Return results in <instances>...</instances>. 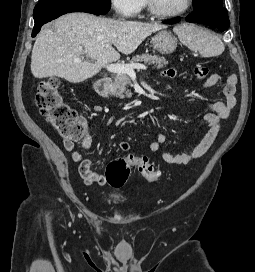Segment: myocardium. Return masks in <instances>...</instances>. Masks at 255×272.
Listing matches in <instances>:
<instances>
[{
  "label": "myocardium",
  "instance_id": "f54148a6",
  "mask_svg": "<svg viewBox=\"0 0 255 272\" xmlns=\"http://www.w3.org/2000/svg\"><path fill=\"white\" fill-rule=\"evenodd\" d=\"M144 1H145V5L149 14L154 17L162 18V19H171V18L180 17L184 15L186 12H188L193 5V0H187V4L183 9L177 12L168 13V12H163L159 10L156 6L155 0H144Z\"/></svg>",
  "mask_w": 255,
  "mask_h": 272
}]
</instances>
